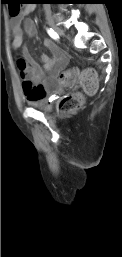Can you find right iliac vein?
Segmentation results:
<instances>
[{
  "label": "right iliac vein",
  "instance_id": "63e3f726",
  "mask_svg": "<svg viewBox=\"0 0 122 257\" xmlns=\"http://www.w3.org/2000/svg\"><path fill=\"white\" fill-rule=\"evenodd\" d=\"M47 22L49 24V26L59 35H64V30L59 27L58 25H56L55 21L53 20V18L51 17H47Z\"/></svg>",
  "mask_w": 122,
  "mask_h": 257
}]
</instances>
